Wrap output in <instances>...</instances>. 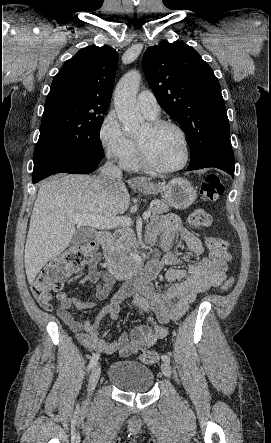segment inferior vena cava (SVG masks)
<instances>
[{
    "instance_id": "1",
    "label": "inferior vena cava",
    "mask_w": 271,
    "mask_h": 443,
    "mask_svg": "<svg viewBox=\"0 0 271 443\" xmlns=\"http://www.w3.org/2000/svg\"><path fill=\"white\" fill-rule=\"evenodd\" d=\"M123 174L117 166H115L114 162H106L104 164L101 174L99 176L100 180H103L105 186L106 184H113V182H116V180H120L122 178ZM108 261H110L108 257ZM108 267L110 269L111 265L108 263Z\"/></svg>"
}]
</instances>
